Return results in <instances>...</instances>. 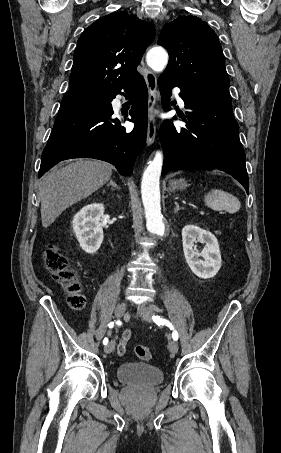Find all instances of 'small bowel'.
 <instances>
[{
    "label": "small bowel",
    "mask_w": 281,
    "mask_h": 453,
    "mask_svg": "<svg viewBox=\"0 0 281 453\" xmlns=\"http://www.w3.org/2000/svg\"><path fill=\"white\" fill-rule=\"evenodd\" d=\"M131 335V332L129 330H126L123 335L121 336L120 342L117 345V351L119 355H124V351L126 350V344Z\"/></svg>",
    "instance_id": "small-bowel-1"
}]
</instances>
